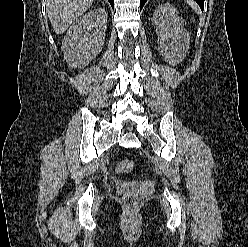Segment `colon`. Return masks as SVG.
Wrapping results in <instances>:
<instances>
[{"label":"colon","mask_w":248,"mask_h":247,"mask_svg":"<svg viewBox=\"0 0 248 247\" xmlns=\"http://www.w3.org/2000/svg\"><path fill=\"white\" fill-rule=\"evenodd\" d=\"M132 169H133V162L129 159L121 160L116 165V170L117 172L120 173L127 174L130 173ZM122 203L126 208L133 209L138 206L139 197L133 192L126 193L122 197Z\"/></svg>","instance_id":"5ec220e1"}]
</instances>
